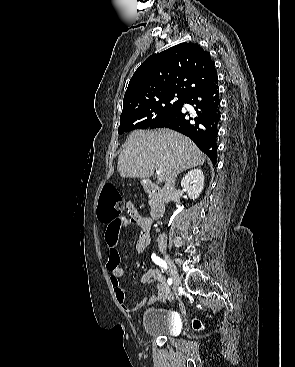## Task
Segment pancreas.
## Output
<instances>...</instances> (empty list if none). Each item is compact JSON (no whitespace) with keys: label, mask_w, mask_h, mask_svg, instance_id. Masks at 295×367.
<instances>
[{"label":"pancreas","mask_w":295,"mask_h":367,"mask_svg":"<svg viewBox=\"0 0 295 367\" xmlns=\"http://www.w3.org/2000/svg\"><path fill=\"white\" fill-rule=\"evenodd\" d=\"M153 203H154V198L152 197V196H150V201H149V205H153Z\"/></svg>","instance_id":"cf45deb5"}]
</instances>
